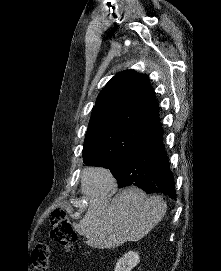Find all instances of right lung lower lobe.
<instances>
[{"instance_id":"98d812e1","label":"right lung lower lobe","mask_w":221,"mask_h":271,"mask_svg":"<svg viewBox=\"0 0 221 271\" xmlns=\"http://www.w3.org/2000/svg\"><path fill=\"white\" fill-rule=\"evenodd\" d=\"M109 169L119 188L137 186L146 193H162L176 199L160 122L147 132L135 149Z\"/></svg>"}]
</instances>
